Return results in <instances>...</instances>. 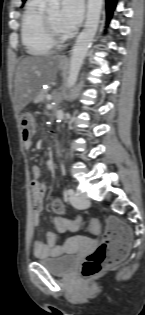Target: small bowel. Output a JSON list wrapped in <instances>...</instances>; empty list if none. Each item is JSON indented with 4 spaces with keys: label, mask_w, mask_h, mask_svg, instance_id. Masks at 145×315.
I'll use <instances>...</instances> for the list:
<instances>
[{
    "label": "small bowel",
    "mask_w": 145,
    "mask_h": 315,
    "mask_svg": "<svg viewBox=\"0 0 145 315\" xmlns=\"http://www.w3.org/2000/svg\"><path fill=\"white\" fill-rule=\"evenodd\" d=\"M33 145L31 139L24 142V147L30 149ZM41 177V169L39 166H32L31 168V182L30 189L33 197V226L37 227L40 223V215L43 210V201L47 193V186L39 181ZM56 207H65L63 201L59 200ZM79 219H68L55 217L54 226L60 233L67 231H76L79 228ZM58 235L47 231L45 233V241L34 238L33 240V253L36 257H57L63 253V248L57 244Z\"/></svg>",
    "instance_id": "c3829d8e"
}]
</instances>
